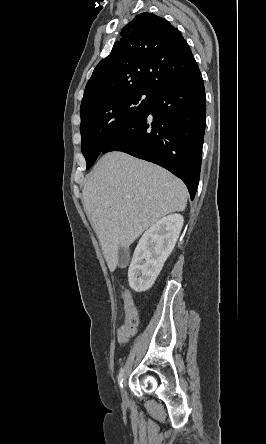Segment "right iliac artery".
I'll list each match as a JSON object with an SVG mask.
<instances>
[{
    "instance_id": "obj_1",
    "label": "right iliac artery",
    "mask_w": 266,
    "mask_h": 444,
    "mask_svg": "<svg viewBox=\"0 0 266 444\" xmlns=\"http://www.w3.org/2000/svg\"><path fill=\"white\" fill-rule=\"evenodd\" d=\"M123 380H124V369H121L118 375V383L122 387L123 386Z\"/></svg>"
}]
</instances>
